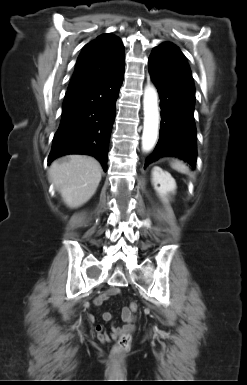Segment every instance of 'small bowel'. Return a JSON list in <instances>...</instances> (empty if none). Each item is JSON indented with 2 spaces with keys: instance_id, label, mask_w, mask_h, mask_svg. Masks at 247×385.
Listing matches in <instances>:
<instances>
[{
  "instance_id": "1",
  "label": "small bowel",
  "mask_w": 247,
  "mask_h": 385,
  "mask_svg": "<svg viewBox=\"0 0 247 385\" xmlns=\"http://www.w3.org/2000/svg\"><path fill=\"white\" fill-rule=\"evenodd\" d=\"M121 293V289L118 287H111L107 289L103 294L100 296L96 297L93 300V303L96 307H100L104 301L108 300L110 297L119 295ZM101 317L104 321H112L113 320V315L110 312H103L101 314ZM122 320L124 321V324L121 326H116L112 325L111 329L109 332L105 330V328L97 324L94 327V331L96 334L97 339L101 343H108L111 341L116 340L123 332H132L135 329V325L132 322V318L130 316L129 310L128 309H123L121 313ZM89 321L94 323L96 321L95 316L91 315L89 317Z\"/></svg>"
}]
</instances>
